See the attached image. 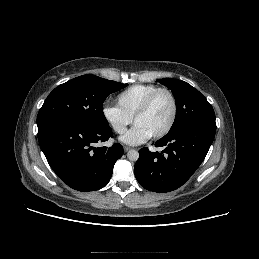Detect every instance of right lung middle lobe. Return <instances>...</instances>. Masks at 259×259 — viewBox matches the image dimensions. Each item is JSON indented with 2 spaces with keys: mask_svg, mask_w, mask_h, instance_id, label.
<instances>
[{
  "mask_svg": "<svg viewBox=\"0 0 259 259\" xmlns=\"http://www.w3.org/2000/svg\"><path fill=\"white\" fill-rule=\"evenodd\" d=\"M128 84L87 74L56 87L37 116L38 128L57 120H73L94 127L109 126L103 113L106 97Z\"/></svg>",
  "mask_w": 259,
  "mask_h": 259,
  "instance_id": "obj_1",
  "label": "right lung middle lobe"
}]
</instances>
